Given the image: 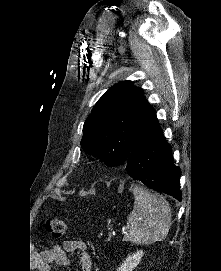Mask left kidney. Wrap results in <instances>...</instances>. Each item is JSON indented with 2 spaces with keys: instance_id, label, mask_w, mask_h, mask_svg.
I'll use <instances>...</instances> for the list:
<instances>
[{
  "instance_id": "obj_1",
  "label": "left kidney",
  "mask_w": 221,
  "mask_h": 271,
  "mask_svg": "<svg viewBox=\"0 0 221 271\" xmlns=\"http://www.w3.org/2000/svg\"><path fill=\"white\" fill-rule=\"evenodd\" d=\"M143 255L144 251H142V249L135 251V253H131V255H127L124 263H121L120 267H117V271H132V269H135L138 263H140Z\"/></svg>"
}]
</instances>
